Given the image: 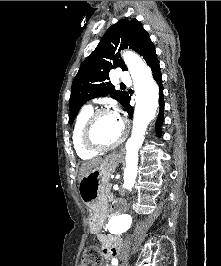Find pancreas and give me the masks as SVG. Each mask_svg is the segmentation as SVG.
Here are the masks:
<instances>
[{
  "label": "pancreas",
  "instance_id": "pancreas-1",
  "mask_svg": "<svg viewBox=\"0 0 221 266\" xmlns=\"http://www.w3.org/2000/svg\"><path fill=\"white\" fill-rule=\"evenodd\" d=\"M111 187H112V184H110V183H108L105 187L106 197L108 198L109 201H113V199H114V196L111 193Z\"/></svg>",
  "mask_w": 221,
  "mask_h": 266
}]
</instances>
